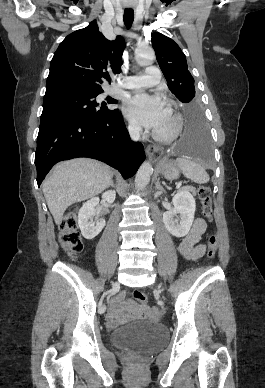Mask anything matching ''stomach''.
Instances as JSON below:
<instances>
[{"mask_svg": "<svg viewBox=\"0 0 265 388\" xmlns=\"http://www.w3.org/2000/svg\"><path fill=\"white\" fill-rule=\"evenodd\" d=\"M158 170L168 180L177 179L180 175V167L173 160L162 159L158 163Z\"/></svg>", "mask_w": 265, "mask_h": 388, "instance_id": "0dacf381", "label": "stomach"}]
</instances>
